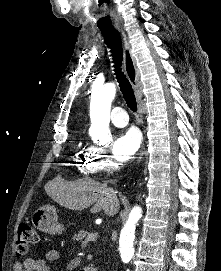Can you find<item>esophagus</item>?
Listing matches in <instances>:
<instances>
[{"label":"esophagus","mask_w":221,"mask_h":271,"mask_svg":"<svg viewBox=\"0 0 221 271\" xmlns=\"http://www.w3.org/2000/svg\"><path fill=\"white\" fill-rule=\"evenodd\" d=\"M118 31L123 41L125 72H126L129 82L131 83L134 89V92L138 101L139 121L143 123V118H142L143 109H142V104H141V100L143 96V85L140 80V73L136 66L135 59L132 55V51H131L125 31L122 28H118ZM144 153H145V144L143 143L139 156H138V161L142 160Z\"/></svg>","instance_id":"1"}]
</instances>
